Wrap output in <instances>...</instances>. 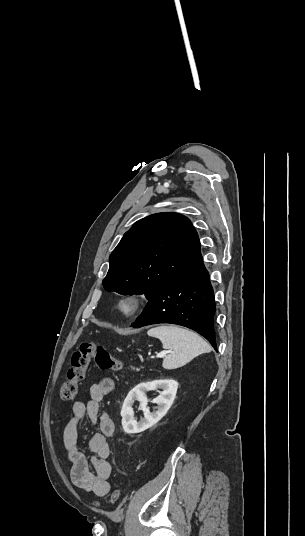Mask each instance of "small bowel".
<instances>
[{
	"mask_svg": "<svg viewBox=\"0 0 305 536\" xmlns=\"http://www.w3.org/2000/svg\"><path fill=\"white\" fill-rule=\"evenodd\" d=\"M115 382L109 377H103L89 388V399L86 402L77 401L72 406V417L63 429V443L71 462L72 483L98 497L106 496L110 491L109 478L111 464L107 460L110 455L108 436L114 432V423L107 413L99 417L102 399L113 393ZM88 416L92 422L99 418V432L92 434L89 448L93 455L88 458L78 446V424Z\"/></svg>",
	"mask_w": 305,
	"mask_h": 536,
	"instance_id": "obj_1",
	"label": "small bowel"
}]
</instances>
